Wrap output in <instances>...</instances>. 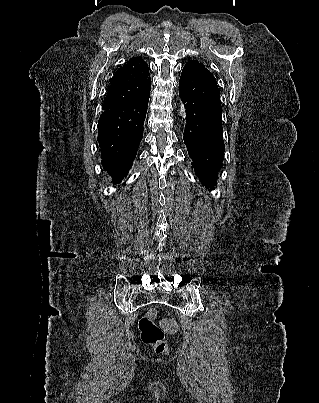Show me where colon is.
<instances>
[{
    "label": "colon",
    "mask_w": 319,
    "mask_h": 403,
    "mask_svg": "<svg viewBox=\"0 0 319 403\" xmlns=\"http://www.w3.org/2000/svg\"><path fill=\"white\" fill-rule=\"evenodd\" d=\"M157 310L154 308L149 309L139 319V331L141 340L153 347L157 354L165 355L169 352V346L165 342V332L156 323Z\"/></svg>",
    "instance_id": "colon-1"
}]
</instances>
